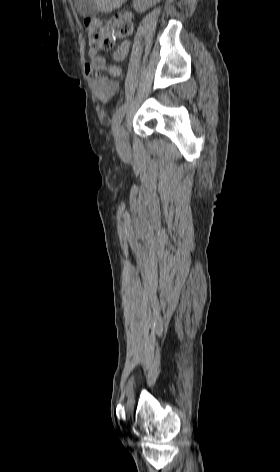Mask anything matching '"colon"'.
Here are the masks:
<instances>
[{"instance_id":"obj_1","label":"colon","mask_w":280,"mask_h":472,"mask_svg":"<svg viewBox=\"0 0 280 472\" xmlns=\"http://www.w3.org/2000/svg\"><path fill=\"white\" fill-rule=\"evenodd\" d=\"M84 25L92 49L110 47L115 36L128 35L131 31L130 24L121 19L104 21L88 17L85 19Z\"/></svg>"}]
</instances>
